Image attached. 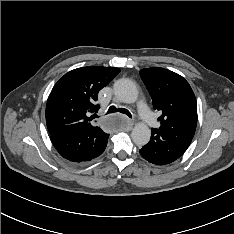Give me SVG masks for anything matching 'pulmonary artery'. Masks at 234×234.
<instances>
[{
    "instance_id": "obj_1",
    "label": "pulmonary artery",
    "mask_w": 234,
    "mask_h": 234,
    "mask_svg": "<svg viewBox=\"0 0 234 234\" xmlns=\"http://www.w3.org/2000/svg\"><path fill=\"white\" fill-rule=\"evenodd\" d=\"M137 110L145 126L148 128H154L156 126L157 119L144 100H140L137 103Z\"/></svg>"
}]
</instances>
